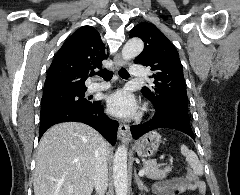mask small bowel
<instances>
[{
  "mask_svg": "<svg viewBox=\"0 0 240 195\" xmlns=\"http://www.w3.org/2000/svg\"><path fill=\"white\" fill-rule=\"evenodd\" d=\"M187 178L174 177L157 182L153 187L154 195H183L189 191L205 195L206 186H192V182H188Z\"/></svg>",
  "mask_w": 240,
  "mask_h": 195,
  "instance_id": "c3829d8e",
  "label": "small bowel"
}]
</instances>
